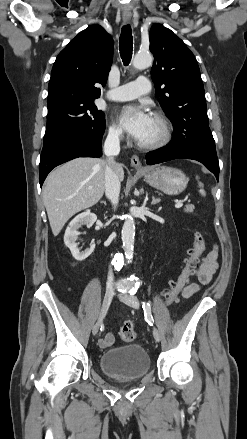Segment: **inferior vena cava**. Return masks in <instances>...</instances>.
Returning a JSON list of instances; mask_svg holds the SVG:
<instances>
[{"label": "inferior vena cava", "instance_id": "602c4592", "mask_svg": "<svg viewBox=\"0 0 247 439\" xmlns=\"http://www.w3.org/2000/svg\"><path fill=\"white\" fill-rule=\"evenodd\" d=\"M120 152L119 134L116 131H109L104 144V153L107 156L105 169V193L112 205L116 206L120 194V180L117 174L118 164L115 162V155ZM115 237V234H114ZM107 287H113V273L109 270Z\"/></svg>", "mask_w": 247, "mask_h": 439}]
</instances>
